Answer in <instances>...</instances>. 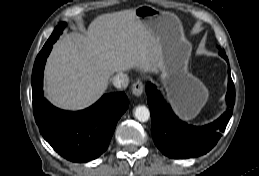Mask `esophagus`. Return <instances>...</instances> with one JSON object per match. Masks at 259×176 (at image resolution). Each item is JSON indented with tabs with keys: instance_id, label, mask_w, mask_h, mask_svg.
I'll return each instance as SVG.
<instances>
[{
	"instance_id": "obj_1",
	"label": "esophagus",
	"mask_w": 259,
	"mask_h": 176,
	"mask_svg": "<svg viewBox=\"0 0 259 176\" xmlns=\"http://www.w3.org/2000/svg\"><path fill=\"white\" fill-rule=\"evenodd\" d=\"M144 90V85L141 81H137L132 86V94L135 96H141Z\"/></svg>"
}]
</instances>
